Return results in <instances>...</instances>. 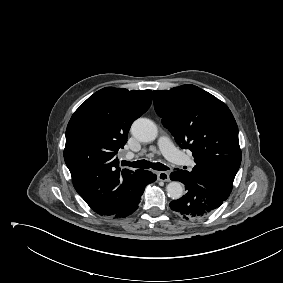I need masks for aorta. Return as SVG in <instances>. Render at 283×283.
I'll return each instance as SVG.
<instances>
[{
  "label": "aorta",
  "instance_id": "1",
  "mask_svg": "<svg viewBox=\"0 0 283 283\" xmlns=\"http://www.w3.org/2000/svg\"><path fill=\"white\" fill-rule=\"evenodd\" d=\"M132 135L141 142L154 141L158 135L157 126L147 118H138L131 126ZM168 196L174 200L182 197L184 189L180 182L172 181L166 187Z\"/></svg>",
  "mask_w": 283,
  "mask_h": 283
}]
</instances>
